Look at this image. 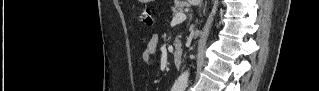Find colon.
I'll return each mask as SVG.
<instances>
[{"instance_id":"colon-1","label":"colon","mask_w":319,"mask_h":91,"mask_svg":"<svg viewBox=\"0 0 319 91\" xmlns=\"http://www.w3.org/2000/svg\"><path fill=\"white\" fill-rule=\"evenodd\" d=\"M139 19L144 25L151 27L153 25L152 10L144 8L139 13Z\"/></svg>"}]
</instances>
